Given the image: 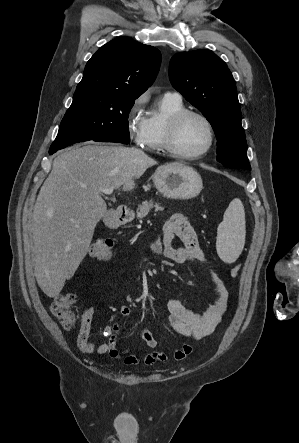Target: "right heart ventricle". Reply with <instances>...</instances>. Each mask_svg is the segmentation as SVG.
<instances>
[{"label":"right heart ventricle","instance_id":"right-heart-ventricle-1","mask_svg":"<svg viewBox=\"0 0 299 443\" xmlns=\"http://www.w3.org/2000/svg\"><path fill=\"white\" fill-rule=\"evenodd\" d=\"M185 109L182 100L163 96L156 110L147 117L146 133L142 147L150 152H164V137L167 121L171 115Z\"/></svg>","mask_w":299,"mask_h":443}]
</instances>
